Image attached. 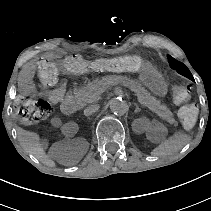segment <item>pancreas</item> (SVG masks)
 Wrapping results in <instances>:
<instances>
[{
  "instance_id": "pancreas-1",
  "label": "pancreas",
  "mask_w": 211,
  "mask_h": 211,
  "mask_svg": "<svg viewBox=\"0 0 211 211\" xmlns=\"http://www.w3.org/2000/svg\"><path fill=\"white\" fill-rule=\"evenodd\" d=\"M120 83L132 90L136 94L138 101L148 107L150 111L156 113L159 118L170 125H177L173 113L166 105L160 104L159 101L145 91L140 83L127 76L105 75L95 81L94 84L73 92L69 99V104L73 108H78L82 103L94 102L100 93L106 91L108 88L119 86Z\"/></svg>"
}]
</instances>
